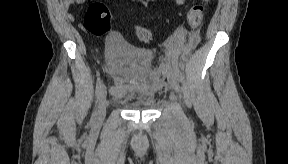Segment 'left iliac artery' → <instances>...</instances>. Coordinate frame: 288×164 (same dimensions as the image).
I'll return each instance as SVG.
<instances>
[{
    "instance_id": "1",
    "label": "left iliac artery",
    "mask_w": 288,
    "mask_h": 164,
    "mask_svg": "<svg viewBox=\"0 0 288 164\" xmlns=\"http://www.w3.org/2000/svg\"><path fill=\"white\" fill-rule=\"evenodd\" d=\"M174 76H175V78H177V80H179L180 82L183 81V76H182V74H181L177 69H174Z\"/></svg>"
}]
</instances>
